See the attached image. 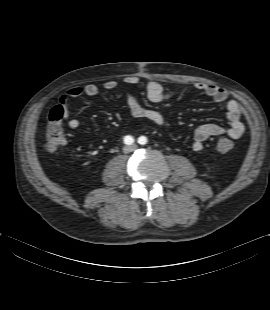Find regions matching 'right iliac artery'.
Here are the masks:
<instances>
[{"label":"right iliac artery","mask_w":270,"mask_h":310,"mask_svg":"<svg viewBox=\"0 0 270 310\" xmlns=\"http://www.w3.org/2000/svg\"><path fill=\"white\" fill-rule=\"evenodd\" d=\"M133 142H134V139H133V137L132 136H125V138H124V143L125 144H127V145H131V144H133Z\"/></svg>","instance_id":"1"}]
</instances>
